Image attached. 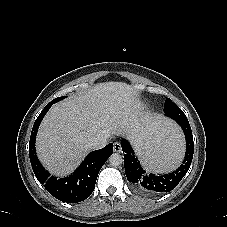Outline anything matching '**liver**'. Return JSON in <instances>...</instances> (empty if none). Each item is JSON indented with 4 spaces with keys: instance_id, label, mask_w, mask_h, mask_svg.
Returning a JSON list of instances; mask_svg holds the SVG:
<instances>
[{
    "instance_id": "1",
    "label": "liver",
    "mask_w": 227,
    "mask_h": 227,
    "mask_svg": "<svg viewBox=\"0 0 227 227\" xmlns=\"http://www.w3.org/2000/svg\"><path fill=\"white\" fill-rule=\"evenodd\" d=\"M138 96L131 85L106 82L52 106L37 134L42 164L52 174L64 176L83 160L90 151L88 141L97 135H126L134 142L132 124L150 116L141 112Z\"/></svg>"
}]
</instances>
